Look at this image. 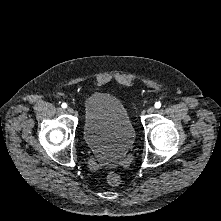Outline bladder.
<instances>
[{
    "label": "bladder",
    "instance_id": "bladder-1",
    "mask_svg": "<svg viewBox=\"0 0 221 221\" xmlns=\"http://www.w3.org/2000/svg\"><path fill=\"white\" fill-rule=\"evenodd\" d=\"M83 133L92 153L110 165L124 156L135 140L134 126L125 106L107 93H93L85 99Z\"/></svg>",
    "mask_w": 221,
    "mask_h": 221
}]
</instances>
